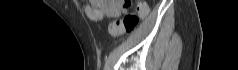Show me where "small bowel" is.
<instances>
[{"mask_svg": "<svg viewBox=\"0 0 238 70\" xmlns=\"http://www.w3.org/2000/svg\"><path fill=\"white\" fill-rule=\"evenodd\" d=\"M125 11L123 0H90L85 8L87 17L92 21H99L104 16L118 18ZM92 13L95 16H92Z\"/></svg>", "mask_w": 238, "mask_h": 70, "instance_id": "1", "label": "small bowel"}]
</instances>
